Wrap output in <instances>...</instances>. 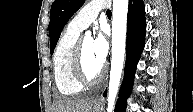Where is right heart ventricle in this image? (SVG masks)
I'll use <instances>...</instances> for the list:
<instances>
[{"label":"right heart ventricle","mask_w":193,"mask_h":112,"mask_svg":"<svg viewBox=\"0 0 193 112\" xmlns=\"http://www.w3.org/2000/svg\"><path fill=\"white\" fill-rule=\"evenodd\" d=\"M80 32L68 25L54 51L55 83L59 92L65 96H75L83 91V86L76 81L72 70L73 53Z\"/></svg>","instance_id":"obj_1"}]
</instances>
